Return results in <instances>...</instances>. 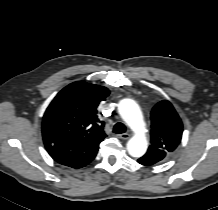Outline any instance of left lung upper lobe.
I'll return each instance as SVG.
<instances>
[{"label":"left lung upper lobe","instance_id":"1","mask_svg":"<svg viewBox=\"0 0 218 210\" xmlns=\"http://www.w3.org/2000/svg\"><path fill=\"white\" fill-rule=\"evenodd\" d=\"M151 145L141 157L145 165L164 160L181 141L183 125L172 104L163 100L151 112Z\"/></svg>","mask_w":218,"mask_h":210}]
</instances>
